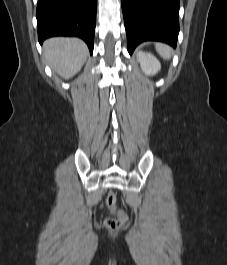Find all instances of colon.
<instances>
[{
  "label": "colon",
  "instance_id": "colon-1",
  "mask_svg": "<svg viewBox=\"0 0 227 265\" xmlns=\"http://www.w3.org/2000/svg\"><path fill=\"white\" fill-rule=\"evenodd\" d=\"M116 194L114 192H109L106 198V205L109 211L114 217L107 218L104 221V225L109 230H115L122 227L127 221L126 213L120 209L116 203Z\"/></svg>",
  "mask_w": 227,
  "mask_h": 265
}]
</instances>
